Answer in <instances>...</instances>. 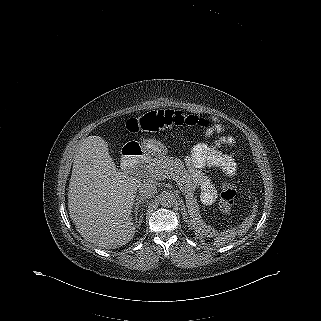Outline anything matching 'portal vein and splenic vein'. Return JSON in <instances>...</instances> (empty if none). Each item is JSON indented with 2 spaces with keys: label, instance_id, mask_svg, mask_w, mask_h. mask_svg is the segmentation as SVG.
Returning <instances> with one entry per match:
<instances>
[{
  "label": "portal vein and splenic vein",
  "instance_id": "portal-vein-and-splenic-vein-1",
  "mask_svg": "<svg viewBox=\"0 0 321 321\" xmlns=\"http://www.w3.org/2000/svg\"><path fill=\"white\" fill-rule=\"evenodd\" d=\"M156 175H157V177H159V179H161L159 174H156ZM164 178H167V177L165 175H163V179Z\"/></svg>",
  "mask_w": 321,
  "mask_h": 321
}]
</instances>
